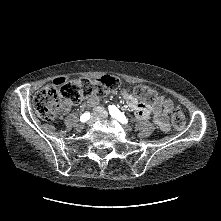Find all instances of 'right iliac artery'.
<instances>
[{"label":"right iliac artery","instance_id":"82829eb1","mask_svg":"<svg viewBox=\"0 0 221 221\" xmlns=\"http://www.w3.org/2000/svg\"><path fill=\"white\" fill-rule=\"evenodd\" d=\"M89 118H90V113L86 112V113L81 115L80 121L81 122H86L87 120H89Z\"/></svg>","mask_w":221,"mask_h":221}]
</instances>
